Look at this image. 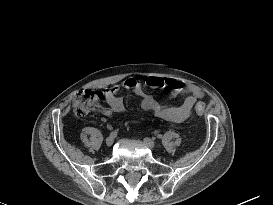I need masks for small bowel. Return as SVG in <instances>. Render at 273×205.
<instances>
[{"label":"small bowel","mask_w":273,"mask_h":205,"mask_svg":"<svg viewBox=\"0 0 273 205\" xmlns=\"http://www.w3.org/2000/svg\"><path fill=\"white\" fill-rule=\"evenodd\" d=\"M168 87L171 90L170 97L185 94L186 98L178 106L165 105L147 94L146 88ZM123 89L133 90L140 98V106L145 112L154 117L171 122H182L188 119L193 112L195 104L204 97L203 90L193 84L184 83L175 79L163 80L150 77L145 82L138 78H127L120 85H116L105 92L108 107H101L99 112L105 117L112 118L115 114L124 111L123 100L118 96Z\"/></svg>","instance_id":"1"}]
</instances>
